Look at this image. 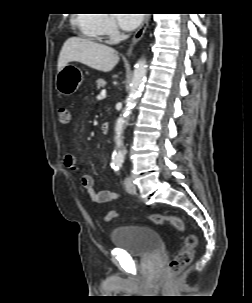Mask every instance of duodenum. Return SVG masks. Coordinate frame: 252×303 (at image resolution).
<instances>
[{"mask_svg": "<svg viewBox=\"0 0 252 303\" xmlns=\"http://www.w3.org/2000/svg\"><path fill=\"white\" fill-rule=\"evenodd\" d=\"M109 128H110V123L109 122H104L100 127V131H101L102 134H106V133H108Z\"/></svg>", "mask_w": 252, "mask_h": 303, "instance_id": "1", "label": "duodenum"}]
</instances>
